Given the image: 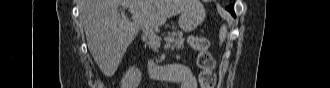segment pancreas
<instances>
[{
  "instance_id": "obj_1",
  "label": "pancreas",
  "mask_w": 330,
  "mask_h": 88,
  "mask_svg": "<svg viewBox=\"0 0 330 88\" xmlns=\"http://www.w3.org/2000/svg\"><path fill=\"white\" fill-rule=\"evenodd\" d=\"M169 39L174 40L173 48H176V49L179 50V49H182L184 47L185 39H184L183 33L181 31L173 32V33H171V35L169 34L167 37H165V40H169ZM147 44L154 51H156L157 48H158L150 40H148Z\"/></svg>"
}]
</instances>
